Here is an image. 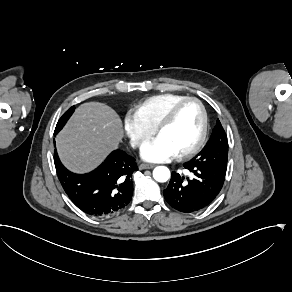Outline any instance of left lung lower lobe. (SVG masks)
<instances>
[{
  "instance_id": "1",
  "label": "left lung lower lobe",
  "mask_w": 292,
  "mask_h": 292,
  "mask_svg": "<svg viewBox=\"0 0 292 292\" xmlns=\"http://www.w3.org/2000/svg\"><path fill=\"white\" fill-rule=\"evenodd\" d=\"M183 166L192 176L185 178L172 172L169 185L164 189V198L171 207L183 213L202 210L222 189L227 166H210L198 159Z\"/></svg>"
}]
</instances>
